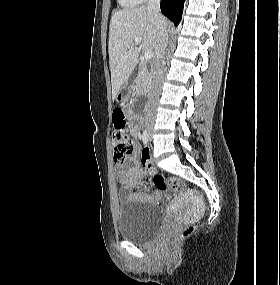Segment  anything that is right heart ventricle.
Instances as JSON below:
<instances>
[{
	"label": "right heart ventricle",
	"mask_w": 280,
	"mask_h": 285,
	"mask_svg": "<svg viewBox=\"0 0 280 285\" xmlns=\"http://www.w3.org/2000/svg\"><path fill=\"white\" fill-rule=\"evenodd\" d=\"M120 5L126 8H132L142 2V0H118Z\"/></svg>",
	"instance_id": "1"
}]
</instances>
